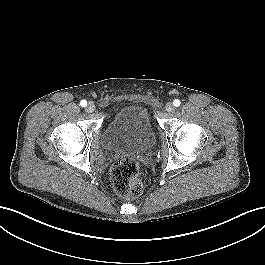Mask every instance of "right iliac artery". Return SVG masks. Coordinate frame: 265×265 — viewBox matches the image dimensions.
<instances>
[{
    "instance_id": "1",
    "label": "right iliac artery",
    "mask_w": 265,
    "mask_h": 265,
    "mask_svg": "<svg viewBox=\"0 0 265 265\" xmlns=\"http://www.w3.org/2000/svg\"><path fill=\"white\" fill-rule=\"evenodd\" d=\"M80 105H81L82 107H86V106H87V101H86V100H82V101L80 102Z\"/></svg>"
}]
</instances>
